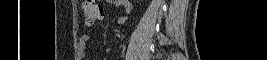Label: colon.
Listing matches in <instances>:
<instances>
[{"label":"colon","instance_id":"5ec220e1","mask_svg":"<svg viewBox=\"0 0 267 60\" xmlns=\"http://www.w3.org/2000/svg\"><path fill=\"white\" fill-rule=\"evenodd\" d=\"M84 22L87 26L93 25L103 15L102 6L95 1H85L82 7Z\"/></svg>","mask_w":267,"mask_h":60}]
</instances>
